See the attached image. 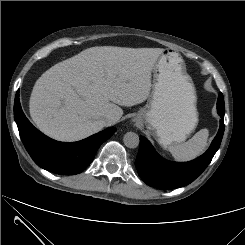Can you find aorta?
<instances>
[{
	"label": "aorta",
	"instance_id": "aorta-1",
	"mask_svg": "<svg viewBox=\"0 0 245 245\" xmlns=\"http://www.w3.org/2000/svg\"><path fill=\"white\" fill-rule=\"evenodd\" d=\"M123 142L128 148H137L139 146V136L134 132H127L123 137Z\"/></svg>",
	"mask_w": 245,
	"mask_h": 245
}]
</instances>
